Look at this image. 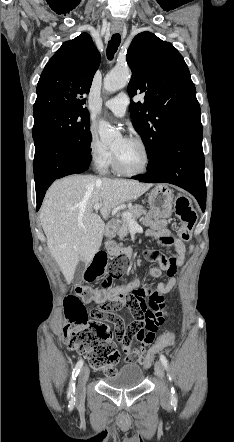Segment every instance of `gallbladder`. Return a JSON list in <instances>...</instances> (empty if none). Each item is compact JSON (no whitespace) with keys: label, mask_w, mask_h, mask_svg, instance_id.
I'll return each mask as SVG.
<instances>
[{"label":"gallbladder","mask_w":234,"mask_h":442,"mask_svg":"<svg viewBox=\"0 0 234 442\" xmlns=\"http://www.w3.org/2000/svg\"><path fill=\"white\" fill-rule=\"evenodd\" d=\"M85 269H86L85 263L83 261H79L78 264H77L75 273H74V281H75V283L82 282L83 274H84Z\"/></svg>","instance_id":"1"}]
</instances>
